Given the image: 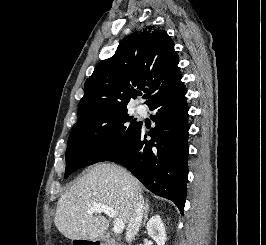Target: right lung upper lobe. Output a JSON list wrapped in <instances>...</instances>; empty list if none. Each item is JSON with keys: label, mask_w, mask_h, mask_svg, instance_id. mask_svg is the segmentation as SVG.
Returning <instances> with one entry per match:
<instances>
[{"label": "right lung upper lobe", "mask_w": 266, "mask_h": 245, "mask_svg": "<svg viewBox=\"0 0 266 245\" xmlns=\"http://www.w3.org/2000/svg\"><path fill=\"white\" fill-rule=\"evenodd\" d=\"M179 57L165 30L145 28L126 37L115 54L101 61L84 85L78 109L79 120L93 113L126 108L128 102L147 90L149 104L181 80Z\"/></svg>", "instance_id": "1"}]
</instances>
